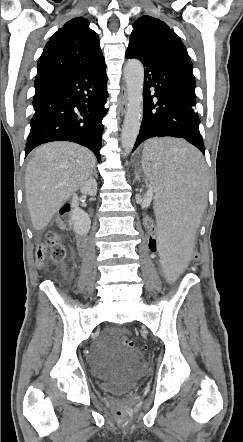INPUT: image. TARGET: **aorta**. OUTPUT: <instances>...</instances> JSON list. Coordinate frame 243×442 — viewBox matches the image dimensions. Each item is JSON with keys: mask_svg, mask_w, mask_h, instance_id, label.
<instances>
[{"mask_svg": "<svg viewBox=\"0 0 243 442\" xmlns=\"http://www.w3.org/2000/svg\"><path fill=\"white\" fill-rule=\"evenodd\" d=\"M127 89V110L121 133V147L128 154L134 147L140 131L143 110L144 69L140 61L131 59L124 66Z\"/></svg>", "mask_w": 243, "mask_h": 442, "instance_id": "aorta-1", "label": "aorta"}]
</instances>
